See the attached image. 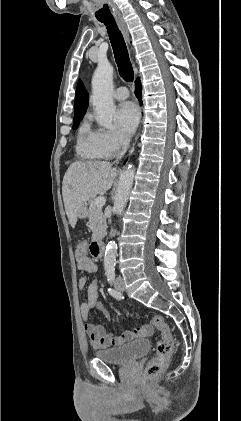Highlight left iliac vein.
<instances>
[{
  "label": "left iliac vein",
  "instance_id": "obj_1",
  "mask_svg": "<svg viewBox=\"0 0 241 421\" xmlns=\"http://www.w3.org/2000/svg\"><path fill=\"white\" fill-rule=\"evenodd\" d=\"M114 287L117 291L123 292L124 291V281L122 277H118L114 282Z\"/></svg>",
  "mask_w": 241,
  "mask_h": 421
}]
</instances>
